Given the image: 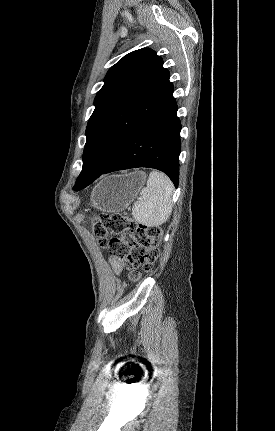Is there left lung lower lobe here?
I'll use <instances>...</instances> for the list:
<instances>
[{"label": "left lung lower lobe", "instance_id": "0a47b994", "mask_svg": "<svg viewBox=\"0 0 275 431\" xmlns=\"http://www.w3.org/2000/svg\"><path fill=\"white\" fill-rule=\"evenodd\" d=\"M177 109L172 92L166 102L105 170L96 174H80L73 189L78 191L87 187L102 174L136 167H149L163 171L177 187L178 158L181 150V123L177 117Z\"/></svg>", "mask_w": 275, "mask_h": 431}]
</instances>
